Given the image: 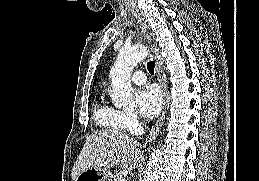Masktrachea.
Segmentation results:
<instances>
[{"mask_svg":"<svg viewBox=\"0 0 259 181\" xmlns=\"http://www.w3.org/2000/svg\"><path fill=\"white\" fill-rule=\"evenodd\" d=\"M155 61H149L147 64V69L151 74H154Z\"/></svg>","mask_w":259,"mask_h":181,"instance_id":"3493384b","label":"trachea"}]
</instances>
